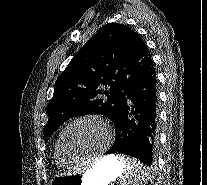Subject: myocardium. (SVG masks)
Listing matches in <instances>:
<instances>
[{
	"label": "myocardium",
	"mask_w": 207,
	"mask_h": 185,
	"mask_svg": "<svg viewBox=\"0 0 207 185\" xmlns=\"http://www.w3.org/2000/svg\"><path fill=\"white\" fill-rule=\"evenodd\" d=\"M84 120L98 121L99 123H101L107 129V132H108V135H109L110 138H113L114 135H115L113 127L109 124L108 121H106L104 118H102L100 116L88 114V115H83V116H80V117L72 120L63 129V131L61 132V135H60V149H61V152L68 160H70L72 162H82V161H85V160H88V159L98 158V157H101L102 154H103V151L101 150L99 152L88 154V155H85V156L75 157L68 151V149L66 147V143H65V138H66V135H67L69 129L73 125H75L76 123L84 121Z\"/></svg>",
	"instance_id": "1"
}]
</instances>
